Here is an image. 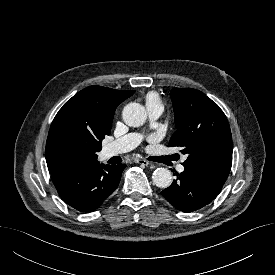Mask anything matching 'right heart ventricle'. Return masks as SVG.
I'll list each match as a JSON object with an SVG mask.
<instances>
[{"label": "right heart ventricle", "mask_w": 275, "mask_h": 275, "mask_svg": "<svg viewBox=\"0 0 275 275\" xmlns=\"http://www.w3.org/2000/svg\"><path fill=\"white\" fill-rule=\"evenodd\" d=\"M161 103L160 98L155 92H150L146 96V104L148 103Z\"/></svg>", "instance_id": "1"}]
</instances>
